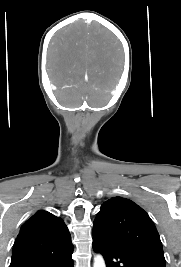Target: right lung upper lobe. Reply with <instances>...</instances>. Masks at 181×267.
Segmentation results:
<instances>
[{"label":"right lung upper lobe","instance_id":"obj_1","mask_svg":"<svg viewBox=\"0 0 181 267\" xmlns=\"http://www.w3.org/2000/svg\"><path fill=\"white\" fill-rule=\"evenodd\" d=\"M73 249L63 220L39 210L21 227L13 246L12 260L43 258Z\"/></svg>","mask_w":181,"mask_h":267}]
</instances>
